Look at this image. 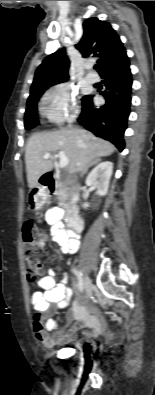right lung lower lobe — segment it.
<instances>
[{"label":"right lung lower lobe","instance_id":"1","mask_svg":"<svg viewBox=\"0 0 155 395\" xmlns=\"http://www.w3.org/2000/svg\"><path fill=\"white\" fill-rule=\"evenodd\" d=\"M130 63L116 66L101 74L106 90L101 92L105 105L96 106L92 95L82 98V113L78 122L98 137L111 141L120 151L124 149L123 135L127 128L132 94Z\"/></svg>","mask_w":155,"mask_h":395}]
</instances>
